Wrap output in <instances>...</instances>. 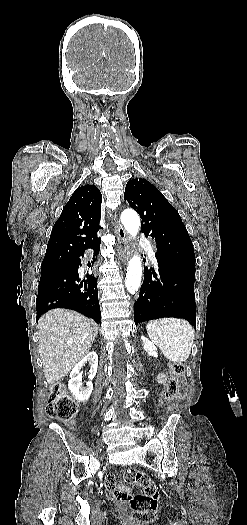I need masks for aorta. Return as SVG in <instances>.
I'll return each instance as SVG.
<instances>
[{"label": "aorta", "instance_id": "762f6f07", "mask_svg": "<svg viewBox=\"0 0 247 525\" xmlns=\"http://www.w3.org/2000/svg\"><path fill=\"white\" fill-rule=\"evenodd\" d=\"M121 222L126 231L135 238L140 228L139 215L131 209H126L121 214ZM142 277V262L138 255L133 256L127 268L125 285L127 291L135 294L138 291Z\"/></svg>", "mask_w": 247, "mask_h": 525}]
</instances>
